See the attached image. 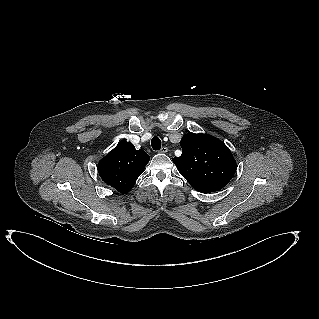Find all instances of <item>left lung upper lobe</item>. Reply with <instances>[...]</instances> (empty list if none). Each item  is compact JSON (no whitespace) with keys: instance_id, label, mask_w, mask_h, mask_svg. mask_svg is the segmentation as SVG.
<instances>
[{"instance_id":"obj_1","label":"left lung upper lobe","mask_w":319,"mask_h":319,"mask_svg":"<svg viewBox=\"0 0 319 319\" xmlns=\"http://www.w3.org/2000/svg\"><path fill=\"white\" fill-rule=\"evenodd\" d=\"M182 155L173 162L189 184L200 192H214L228 184L236 172L229 148L215 137L187 133L180 141Z\"/></svg>"}]
</instances>
